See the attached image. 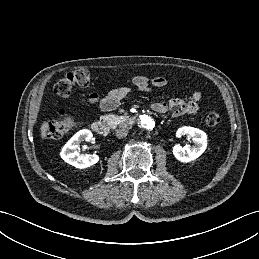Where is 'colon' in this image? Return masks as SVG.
Listing matches in <instances>:
<instances>
[{
    "mask_svg": "<svg viewBox=\"0 0 259 259\" xmlns=\"http://www.w3.org/2000/svg\"><path fill=\"white\" fill-rule=\"evenodd\" d=\"M92 80V74L87 69H78L65 74L54 87L55 93L62 97H69L73 87L80 86L85 87L90 84ZM59 119L51 122L48 125L47 136L51 139H59L65 136L70 128L73 126V118L65 111L60 110L58 112ZM220 114L216 111H211L206 116V123L209 126H216L220 123Z\"/></svg>",
    "mask_w": 259,
    "mask_h": 259,
    "instance_id": "5ec220e1",
    "label": "colon"
}]
</instances>
